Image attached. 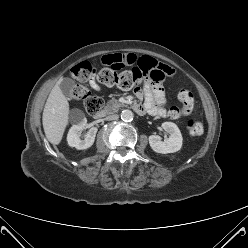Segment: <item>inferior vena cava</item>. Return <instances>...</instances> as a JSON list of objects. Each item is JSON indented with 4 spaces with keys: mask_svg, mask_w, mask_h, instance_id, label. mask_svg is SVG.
<instances>
[{
    "mask_svg": "<svg viewBox=\"0 0 248 248\" xmlns=\"http://www.w3.org/2000/svg\"><path fill=\"white\" fill-rule=\"evenodd\" d=\"M118 118L119 116L117 114H114V115L107 116L105 119L108 121H111V120H117Z\"/></svg>",
    "mask_w": 248,
    "mask_h": 248,
    "instance_id": "inferior-vena-cava-1",
    "label": "inferior vena cava"
}]
</instances>
